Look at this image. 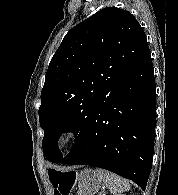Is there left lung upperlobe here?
<instances>
[{
    "instance_id": "5c2ea615",
    "label": "left lung upper lobe",
    "mask_w": 178,
    "mask_h": 195,
    "mask_svg": "<svg viewBox=\"0 0 178 195\" xmlns=\"http://www.w3.org/2000/svg\"><path fill=\"white\" fill-rule=\"evenodd\" d=\"M150 54L143 29L128 11L107 7L73 27L52 57L41 92L46 158L59 163L61 134L75 143L119 83Z\"/></svg>"
}]
</instances>
